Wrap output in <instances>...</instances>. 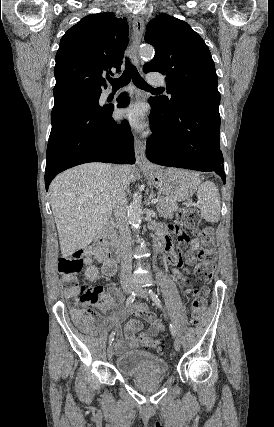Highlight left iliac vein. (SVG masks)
Masks as SVG:
<instances>
[{
    "instance_id": "obj_1",
    "label": "left iliac vein",
    "mask_w": 274,
    "mask_h": 427,
    "mask_svg": "<svg viewBox=\"0 0 274 427\" xmlns=\"http://www.w3.org/2000/svg\"><path fill=\"white\" fill-rule=\"evenodd\" d=\"M138 297H140V298H148L147 290L143 289V288H140L138 290ZM180 346H181L180 340H179L178 337H176L175 340H174V348H175V350L179 351L180 350Z\"/></svg>"
}]
</instances>
